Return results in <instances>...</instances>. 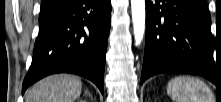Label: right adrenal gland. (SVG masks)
<instances>
[{
    "label": "right adrenal gland",
    "instance_id": "right-adrenal-gland-1",
    "mask_svg": "<svg viewBox=\"0 0 221 102\" xmlns=\"http://www.w3.org/2000/svg\"><path fill=\"white\" fill-rule=\"evenodd\" d=\"M85 95H89L92 97V95L88 91L85 92Z\"/></svg>",
    "mask_w": 221,
    "mask_h": 102
}]
</instances>
